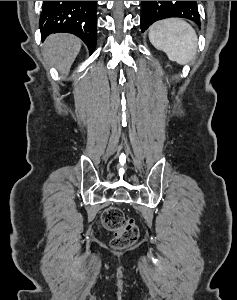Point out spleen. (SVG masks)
I'll use <instances>...</instances> for the list:
<instances>
[{
  "label": "spleen",
  "mask_w": 237,
  "mask_h": 300,
  "mask_svg": "<svg viewBox=\"0 0 237 300\" xmlns=\"http://www.w3.org/2000/svg\"><path fill=\"white\" fill-rule=\"evenodd\" d=\"M149 41L158 51H164L169 61L187 65L197 53V35L183 19L157 21L149 31Z\"/></svg>",
  "instance_id": "obj_1"
}]
</instances>
